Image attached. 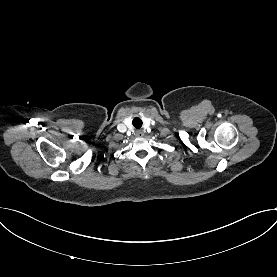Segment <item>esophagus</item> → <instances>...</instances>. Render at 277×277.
<instances>
[{
  "mask_svg": "<svg viewBox=\"0 0 277 277\" xmlns=\"http://www.w3.org/2000/svg\"><path fill=\"white\" fill-rule=\"evenodd\" d=\"M136 135H137L138 137H141V136L144 135V132H143L142 130H138V131H136Z\"/></svg>",
  "mask_w": 277,
  "mask_h": 277,
  "instance_id": "34e87169",
  "label": "esophagus"
}]
</instances>
